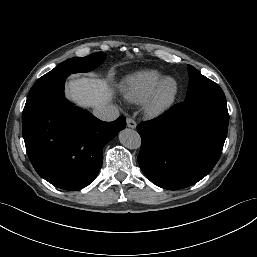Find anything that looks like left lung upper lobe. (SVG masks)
<instances>
[{
    "instance_id": "left-lung-upper-lobe-1",
    "label": "left lung upper lobe",
    "mask_w": 257,
    "mask_h": 257,
    "mask_svg": "<svg viewBox=\"0 0 257 257\" xmlns=\"http://www.w3.org/2000/svg\"><path fill=\"white\" fill-rule=\"evenodd\" d=\"M189 84L185 101H198L208 98L226 99L222 89L207 77L188 65Z\"/></svg>"
}]
</instances>
